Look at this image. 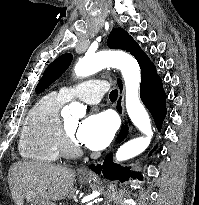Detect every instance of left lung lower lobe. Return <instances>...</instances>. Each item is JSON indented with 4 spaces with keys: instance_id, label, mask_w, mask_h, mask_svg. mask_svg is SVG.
Returning a JSON list of instances; mask_svg holds the SVG:
<instances>
[{
    "instance_id": "1",
    "label": "left lung lower lobe",
    "mask_w": 199,
    "mask_h": 205,
    "mask_svg": "<svg viewBox=\"0 0 199 205\" xmlns=\"http://www.w3.org/2000/svg\"><path fill=\"white\" fill-rule=\"evenodd\" d=\"M138 61L141 68V85H140V97L145 106L152 114L157 128L160 130L164 117L166 116L165 99L166 94L163 91L162 80L157 75L154 64L150 61L147 55L141 50L137 42L132 40L127 50ZM118 85L120 90L122 89L121 80L118 79ZM117 110L121 113V102L117 103ZM128 133L127 126H123L120 134L119 141L125 139ZM90 168L97 174H103L108 179H120L122 182L127 180L131 176V172L128 168H122L118 164H112V154L106 156L104 162L101 165H91ZM139 175V174H138Z\"/></svg>"
}]
</instances>
